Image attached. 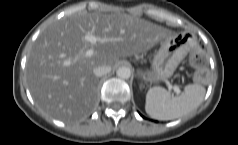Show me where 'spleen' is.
I'll list each match as a JSON object with an SVG mask.
<instances>
[{"label":"spleen","instance_id":"3e777b00","mask_svg":"<svg viewBox=\"0 0 238 145\" xmlns=\"http://www.w3.org/2000/svg\"><path fill=\"white\" fill-rule=\"evenodd\" d=\"M205 93V87L200 84L186 85L184 92L177 96L161 87H153L146 94L145 111L153 119H176L196 109Z\"/></svg>","mask_w":238,"mask_h":145}]
</instances>
